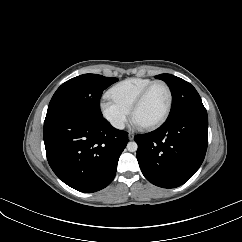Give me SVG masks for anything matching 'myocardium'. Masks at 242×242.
Returning a JSON list of instances; mask_svg holds the SVG:
<instances>
[{
	"label": "myocardium",
	"mask_w": 242,
	"mask_h": 242,
	"mask_svg": "<svg viewBox=\"0 0 242 242\" xmlns=\"http://www.w3.org/2000/svg\"><path fill=\"white\" fill-rule=\"evenodd\" d=\"M156 85H163L168 93V101H167V105L165 107L164 112L162 113V115L154 122L150 123V124H146V125H138L140 128L142 129H153L158 127L159 125H161L165 119L167 118L171 107H172V103H173V93H172V89L169 86L168 83H166L163 80H156L154 82H152L150 85H148L142 92L141 94L137 97V99L135 100V102L133 103L130 113H131V118L132 121L134 123L135 122V114L137 112V110L140 108V106L143 104V102L145 101L146 97L148 96V94L150 93V91L156 86Z\"/></svg>",
	"instance_id": "myocardium-1"
}]
</instances>
